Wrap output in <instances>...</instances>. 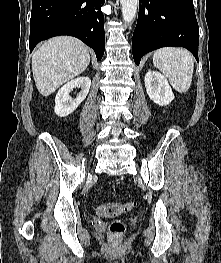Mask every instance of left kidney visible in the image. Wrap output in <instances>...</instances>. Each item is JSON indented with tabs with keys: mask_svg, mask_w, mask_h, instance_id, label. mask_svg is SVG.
Wrapping results in <instances>:
<instances>
[{
	"mask_svg": "<svg viewBox=\"0 0 221 263\" xmlns=\"http://www.w3.org/2000/svg\"><path fill=\"white\" fill-rule=\"evenodd\" d=\"M145 87L149 98L159 106H166L174 100V94L167 79L157 71L150 70L146 73Z\"/></svg>",
	"mask_w": 221,
	"mask_h": 263,
	"instance_id": "obj_1",
	"label": "left kidney"
}]
</instances>
